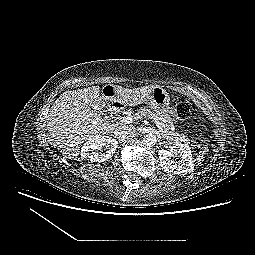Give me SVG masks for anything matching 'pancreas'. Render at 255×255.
<instances>
[{
  "label": "pancreas",
  "instance_id": "1",
  "mask_svg": "<svg viewBox=\"0 0 255 255\" xmlns=\"http://www.w3.org/2000/svg\"><path fill=\"white\" fill-rule=\"evenodd\" d=\"M133 117H151L155 119H161L159 116H157L154 112L150 111L149 109H140L137 110L136 113L133 114ZM163 126V132L162 136L165 138L167 141L172 142V143H179V142H184L185 144L190 143V139L186 137L184 134H179L178 132H174L170 130V127H168L167 124L162 123Z\"/></svg>",
  "mask_w": 255,
  "mask_h": 255
}]
</instances>
